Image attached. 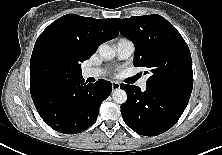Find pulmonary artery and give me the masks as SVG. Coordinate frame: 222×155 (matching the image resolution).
<instances>
[{
	"label": "pulmonary artery",
	"mask_w": 222,
	"mask_h": 155,
	"mask_svg": "<svg viewBox=\"0 0 222 155\" xmlns=\"http://www.w3.org/2000/svg\"><path fill=\"white\" fill-rule=\"evenodd\" d=\"M135 51L134 43L128 39H120L116 44V53L119 59H128ZM83 76L85 78L94 77L97 78L103 74L101 68H86L83 70ZM147 78H142L138 85L140 88L144 89L146 87Z\"/></svg>",
	"instance_id": "1"
}]
</instances>
